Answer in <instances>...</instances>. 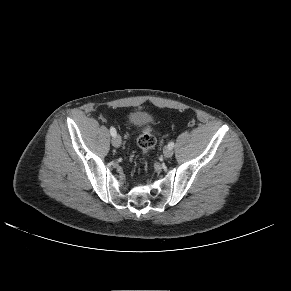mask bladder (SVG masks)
Returning <instances> with one entry per match:
<instances>
[{
  "mask_svg": "<svg viewBox=\"0 0 291 291\" xmlns=\"http://www.w3.org/2000/svg\"><path fill=\"white\" fill-rule=\"evenodd\" d=\"M149 115L143 111H134L129 115V122L134 126H143L149 121Z\"/></svg>",
  "mask_w": 291,
  "mask_h": 291,
  "instance_id": "obj_1",
  "label": "bladder"
}]
</instances>
